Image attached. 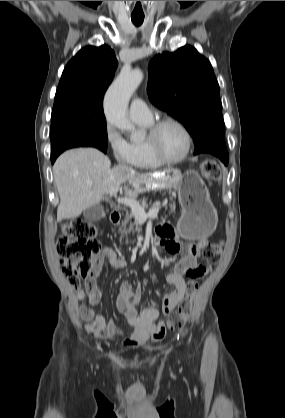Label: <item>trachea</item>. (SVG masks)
I'll return each instance as SVG.
<instances>
[{"label": "trachea", "instance_id": "3493384b", "mask_svg": "<svg viewBox=\"0 0 285 418\" xmlns=\"http://www.w3.org/2000/svg\"><path fill=\"white\" fill-rule=\"evenodd\" d=\"M131 20L135 26H140L144 21V17H131Z\"/></svg>", "mask_w": 285, "mask_h": 418}]
</instances>
